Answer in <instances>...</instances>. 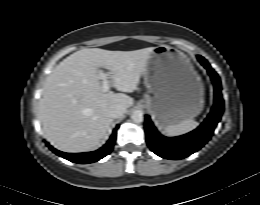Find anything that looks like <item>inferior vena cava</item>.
Returning <instances> with one entry per match:
<instances>
[{
  "mask_svg": "<svg viewBox=\"0 0 260 205\" xmlns=\"http://www.w3.org/2000/svg\"><path fill=\"white\" fill-rule=\"evenodd\" d=\"M125 108L121 105H115L113 106L109 111L108 114L111 118H119L125 113Z\"/></svg>",
  "mask_w": 260,
  "mask_h": 205,
  "instance_id": "1",
  "label": "inferior vena cava"
}]
</instances>
